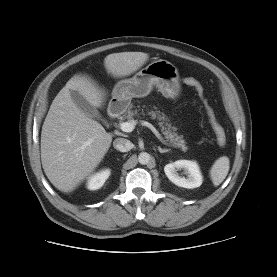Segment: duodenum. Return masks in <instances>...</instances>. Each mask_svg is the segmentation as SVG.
<instances>
[{
	"label": "duodenum",
	"mask_w": 277,
	"mask_h": 277,
	"mask_svg": "<svg viewBox=\"0 0 277 277\" xmlns=\"http://www.w3.org/2000/svg\"><path fill=\"white\" fill-rule=\"evenodd\" d=\"M120 114V106L118 104H112L109 108V116L111 119H115Z\"/></svg>",
	"instance_id": "1"
}]
</instances>
